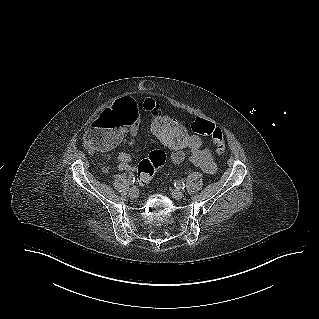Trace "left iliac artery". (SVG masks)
I'll return each mask as SVG.
<instances>
[{
  "label": "left iliac artery",
  "instance_id": "obj_1",
  "mask_svg": "<svg viewBox=\"0 0 319 319\" xmlns=\"http://www.w3.org/2000/svg\"><path fill=\"white\" fill-rule=\"evenodd\" d=\"M174 186L177 188V189H184L185 188V183L182 182V181H176L174 183Z\"/></svg>",
  "mask_w": 319,
  "mask_h": 319
}]
</instances>
